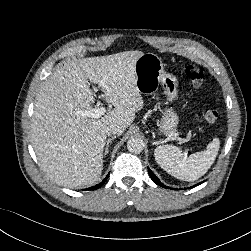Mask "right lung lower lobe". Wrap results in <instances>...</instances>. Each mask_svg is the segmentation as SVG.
Segmentation results:
<instances>
[{
    "instance_id": "1",
    "label": "right lung lower lobe",
    "mask_w": 251,
    "mask_h": 251,
    "mask_svg": "<svg viewBox=\"0 0 251 251\" xmlns=\"http://www.w3.org/2000/svg\"><path fill=\"white\" fill-rule=\"evenodd\" d=\"M108 177H109V174L104 178V180L100 184L93 186V187H90L88 189L89 190H96V189L100 188L107 181Z\"/></svg>"
}]
</instances>
